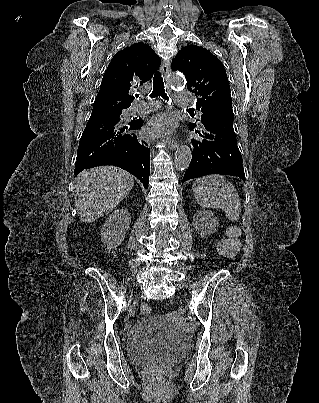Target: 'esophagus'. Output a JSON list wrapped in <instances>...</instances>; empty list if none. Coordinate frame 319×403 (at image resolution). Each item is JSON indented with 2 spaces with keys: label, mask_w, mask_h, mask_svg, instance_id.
I'll list each match as a JSON object with an SVG mask.
<instances>
[{
  "label": "esophagus",
  "mask_w": 319,
  "mask_h": 403,
  "mask_svg": "<svg viewBox=\"0 0 319 403\" xmlns=\"http://www.w3.org/2000/svg\"><path fill=\"white\" fill-rule=\"evenodd\" d=\"M160 71H161L163 77L166 78L168 73H169V71H170V63L167 62V61L163 62L161 67H160ZM166 143L168 145V148L171 149V150H175V149H177L179 147L178 141H176L174 139H171V138H167Z\"/></svg>",
  "instance_id": "1"
}]
</instances>
